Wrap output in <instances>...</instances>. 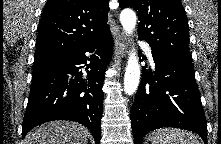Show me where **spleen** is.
Masks as SVG:
<instances>
[{"label":"spleen","instance_id":"obj_1","mask_svg":"<svg viewBox=\"0 0 221 144\" xmlns=\"http://www.w3.org/2000/svg\"><path fill=\"white\" fill-rule=\"evenodd\" d=\"M152 144H200L196 136L177 128H164L152 135Z\"/></svg>","mask_w":221,"mask_h":144}]
</instances>
